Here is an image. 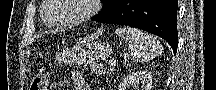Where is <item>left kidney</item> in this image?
<instances>
[{
	"instance_id": "left-kidney-1",
	"label": "left kidney",
	"mask_w": 216,
	"mask_h": 90,
	"mask_svg": "<svg viewBox=\"0 0 216 90\" xmlns=\"http://www.w3.org/2000/svg\"><path fill=\"white\" fill-rule=\"evenodd\" d=\"M151 72H135L121 80L118 90H152Z\"/></svg>"
}]
</instances>
